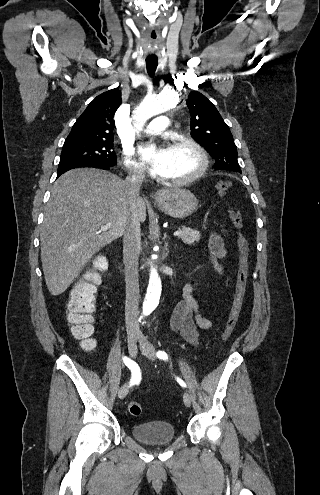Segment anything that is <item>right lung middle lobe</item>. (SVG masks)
<instances>
[{
    "label": "right lung middle lobe",
    "instance_id": "obj_1",
    "mask_svg": "<svg viewBox=\"0 0 320 495\" xmlns=\"http://www.w3.org/2000/svg\"><path fill=\"white\" fill-rule=\"evenodd\" d=\"M112 149L113 141H65L60 156L58 173L90 164L115 166L117 157Z\"/></svg>",
    "mask_w": 320,
    "mask_h": 495
}]
</instances>
